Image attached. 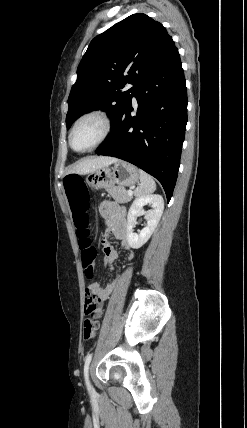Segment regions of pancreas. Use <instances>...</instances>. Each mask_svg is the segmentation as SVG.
I'll return each mask as SVG.
<instances>
[{
    "mask_svg": "<svg viewBox=\"0 0 247 428\" xmlns=\"http://www.w3.org/2000/svg\"><path fill=\"white\" fill-rule=\"evenodd\" d=\"M108 194L119 203H127L132 200L123 186H113L107 189Z\"/></svg>",
    "mask_w": 247,
    "mask_h": 428,
    "instance_id": "cf45deb5",
    "label": "pancreas"
}]
</instances>
